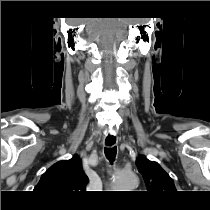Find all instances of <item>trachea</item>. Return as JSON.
Returning <instances> with one entry per match:
<instances>
[{"instance_id":"trachea-1","label":"trachea","mask_w":210,"mask_h":210,"mask_svg":"<svg viewBox=\"0 0 210 210\" xmlns=\"http://www.w3.org/2000/svg\"><path fill=\"white\" fill-rule=\"evenodd\" d=\"M106 158L109 160V162L112 164L115 160L116 157V153H117V148L116 146L112 147V148H105L104 149Z\"/></svg>"}]
</instances>
